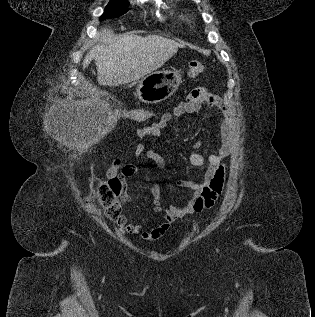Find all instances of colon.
<instances>
[{"label": "colon", "instance_id": "5ec220e1", "mask_svg": "<svg viewBox=\"0 0 315 317\" xmlns=\"http://www.w3.org/2000/svg\"><path fill=\"white\" fill-rule=\"evenodd\" d=\"M205 67L200 61H192L187 68V74L190 78H194L204 71ZM152 115L148 109H142L136 114L127 115L128 119H146ZM120 183L117 180H110L100 186V199L107 209V215L110 219L120 222L122 202L120 200Z\"/></svg>", "mask_w": 315, "mask_h": 317}]
</instances>
